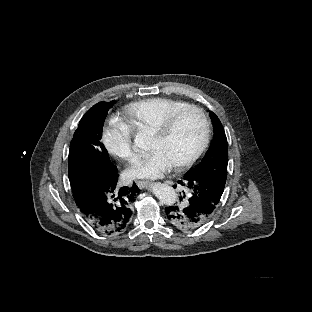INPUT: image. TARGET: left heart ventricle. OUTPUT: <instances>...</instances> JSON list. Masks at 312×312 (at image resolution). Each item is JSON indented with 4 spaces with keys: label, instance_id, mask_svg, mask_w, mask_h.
Masks as SVG:
<instances>
[{
    "label": "left heart ventricle",
    "instance_id": "b2bd125f",
    "mask_svg": "<svg viewBox=\"0 0 312 312\" xmlns=\"http://www.w3.org/2000/svg\"><path fill=\"white\" fill-rule=\"evenodd\" d=\"M204 138L203 120L196 113H187L171 127L164 140L167 159L173 164H182L192 159Z\"/></svg>",
    "mask_w": 312,
    "mask_h": 312
}]
</instances>
